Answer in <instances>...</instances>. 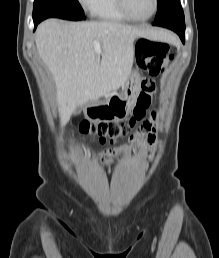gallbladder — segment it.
Wrapping results in <instances>:
<instances>
[{
    "mask_svg": "<svg viewBox=\"0 0 219 258\" xmlns=\"http://www.w3.org/2000/svg\"><path fill=\"white\" fill-rule=\"evenodd\" d=\"M80 114V107H77L74 111V115Z\"/></svg>",
    "mask_w": 219,
    "mask_h": 258,
    "instance_id": "gallbladder-1",
    "label": "gallbladder"
}]
</instances>
